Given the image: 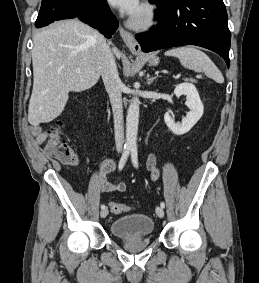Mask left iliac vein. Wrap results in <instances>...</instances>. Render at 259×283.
<instances>
[{
  "mask_svg": "<svg viewBox=\"0 0 259 283\" xmlns=\"http://www.w3.org/2000/svg\"><path fill=\"white\" fill-rule=\"evenodd\" d=\"M156 214L158 217L163 218L164 217V210L161 206L156 207Z\"/></svg>",
  "mask_w": 259,
  "mask_h": 283,
  "instance_id": "1",
  "label": "left iliac vein"
}]
</instances>
